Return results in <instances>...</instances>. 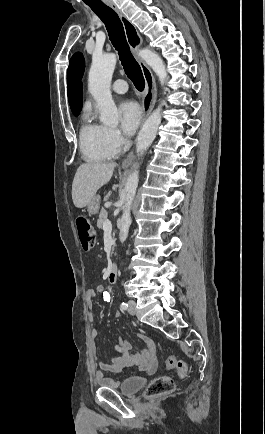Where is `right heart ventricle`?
<instances>
[{
    "instance_id": "obj_1",
    "label": "right heart ventricle",
    "mask_w": 265,
    "mask_h": 434,
    "mask_svg": "<svg viewBox=\"0 0 265 434\" xmlns=\"http://www.w3.org/2000/svg\"><path fill=\"white\" fill-rule=\"evenodd\" d=\"M79 122V146L85 161L100 163L113 160L117 154H113L111 149L105 146L102 139L104 126L95 122L89 106L81 109Z\"/></svg>"
}]
</instances>
